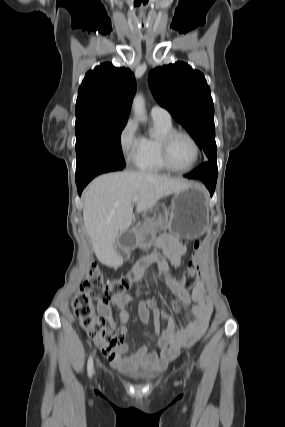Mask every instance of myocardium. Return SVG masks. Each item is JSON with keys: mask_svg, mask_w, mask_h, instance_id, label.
<instances>
[{"mask_svg": "<svg viewBox=\"0 0 285 427\" xmlns=\"http://www.w3.org/2000/svg\"><path fill=\"white\" fill-rule=\"evenodd\" d=\"M177 136L187 137L191 141V143L193 144L194 149H195L194 160H193L192 164L185 169L175 168L171 164L170 159H169L170 145H171L172 141L174 140V138ZM159 152H160L161 162L167 170L174 172V173H188V172L192 171L196 167V165L198 164L199 157H200V146H199L197 140L189 132H187L185 130H181V129H172L169 132L163 134L162 137L160 138Z\"/></svg>", "mask_w": 285, "mask_h": 427, "instance_id": "f54148a6", "label": "myocardium"}]
</instances>
